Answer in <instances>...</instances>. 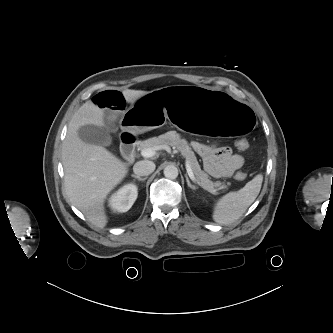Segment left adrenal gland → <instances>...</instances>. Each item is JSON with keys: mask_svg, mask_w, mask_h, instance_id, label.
Listing matches in <instances>:
<instances>
[{"mask_svg": "<svg viewBox=\"0 0 333 333\" xmlns=\"http://www.w3.org/2000/svg\"><path fill=\"white\" fill-rule=\"evenodd\" d=\"M186 181H187V185H188V187H190V188L193 189V190L196 189V187L190 183V180H189V178H188L187 176H186Z\"/></svg>", "mask_w": 333, "mask_h": 333, "instance_id": "a2214340", "label": "left adrenal gland"}]
</instances>
